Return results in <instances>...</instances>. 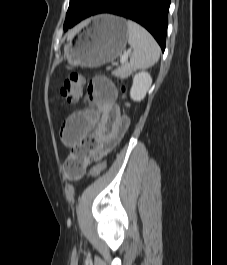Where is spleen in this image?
<instances>
[{"label":"spleen","instance_id":"3e777b00","mask_svg":"<svg viewBox=\"0 0 227 265\" xmlns=\"http://www.w3.org/2000/svg\"><path fill=\"white\" fill-rule=\"evenodd\" d=\"M128 43L133 49L130 58L132 69H147L160 57V47L152 35L139 24L128 20Z\"/></svg>","mask_w":227,"mask_h":265}]
</instances>
